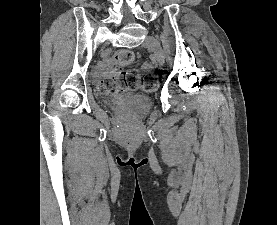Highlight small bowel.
<instances>
[{
    "instance_id": "c3829d8e",
    "label": "small bowel",
    "mask_w": 277,
    "mask_h": 225,
    "mask_svg": "<svg viewBox=\"0 0 277 225\" xmlns=\"http://www.w3.org/2000/svg\"><path fill=\"white\" fill-rule=\"evenodd\" d=\"M147 67V66H146ZM98 78H99V83L105 78L107 77V75L100 69L98 70Z\"/></svg>"
}]
</instances>
